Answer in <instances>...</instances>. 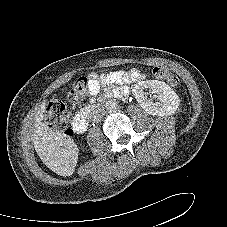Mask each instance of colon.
Segmentation results:
<instances>
[{
    "label": "colon",
    "mask_w": 227,
    "mask_h": 227,
    "mask_svg": "<svg viewBox=\"0 0 227 227\" xmlns=\"http://www.w3.org/2000/svg\"><path fill=\"white\" fill-rule=\"evenodd\" d=\"M153 75L166 81L171 87L179 86V79L169 72L165 67L155 66L152 69ZM89 77H79L73 83L68 92V98L72 102H79L83 100L89 93ZM45 120L47 124L54 130L68 134L70 132L68 126V112L63 102L59 100H52L45 109Z\"/></svg>",
    "instance_id": "colon-1"
}]
</instances>
